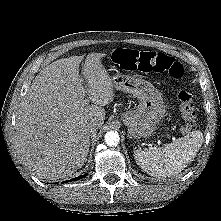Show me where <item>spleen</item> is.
<instances>
[{"mask_svg": "<svg viewBox=\"0 0 221 221\" xmlns=\"http://www.w3.org/2000/svg\"><path fill=\"white\" fill-rule=\"evenodd\" d=\"M202 142V132L193 131L163 147L136 150L134 158L136 163L149 175L170 177L184 170L193 161Z\"/></svg>", "mask_w": 221, "mask_h": 221, "instance_id": "spleen-1", "label": "spleen"}]
</instances>
